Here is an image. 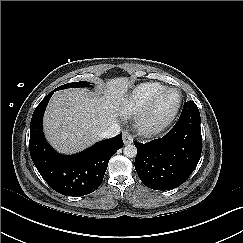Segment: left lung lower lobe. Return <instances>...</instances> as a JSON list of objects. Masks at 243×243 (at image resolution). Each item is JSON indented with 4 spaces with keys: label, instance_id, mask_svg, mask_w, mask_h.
Listing matches in <instances>:
<instances>
[{
    "label": "left lung lower lobe",
    "instance_id": "left-lung-lower-lobe-1",
    "mask_svg": "<svg viewBox=\"0 0 243 243\" xmlns=\"http://www.w3.org/2000/svg\"><path fill=\"white\" fill-rule=\"evenodd\" d=\"M200 113L186 105L173 128L162 138L137 147L136 172L145 186L170 190L183 184L196 168L202 151Z\"/></svg>",
    "mask_w": 243,
    "mask_h": 243
}]
</instances>
